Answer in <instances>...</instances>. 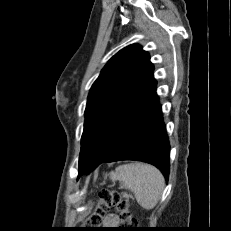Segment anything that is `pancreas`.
Wrapping results in <instances>:
<instances>
[{"label":"pancreas","instance_id":"cf45deb5","mask_svg":"<svg viewBox=\"0 0 231 231\" xmlns=\"http://www.w3.org/2000/svg\"><path fill=\"white\" fill-rule=\"evenodd\" d=\"M122 195H123V197H125V198H129V197H131L129 194H127V193H122Z\"/></svg>","mask_w":231,"mask_h":231}]
</instances>
